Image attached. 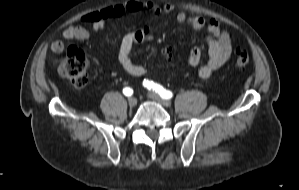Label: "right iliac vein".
Wrapping results in <instances>:
<instances>
[{"label": "right iliac vein", "instance_id": "63e3f726", "mask_svg": "<svg viewBox=\"0 0 299 190\" xmlns=\"http://www.w3.org/2000/svg\"><path fill=\"white\" fill-rule=\"evenodd\" d=\"M128 104H129L130 107H134V106H136V104H137V99H136L135 97H130V98L128 99Z\"/></svg>", "mask_w": 299, "mask_h": 190}]
</instances>
